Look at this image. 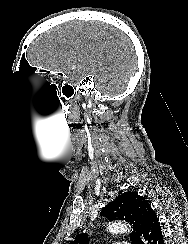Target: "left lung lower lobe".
<instances>
[{"label":"left lung lower lobe","mask_w":188,"mask_h":244,"mask_svg":"<svg viewBox=\"0 0 188 244\" xmlns=\"http://www.w3.org/2000/svg\"><path fill=\"white\" fill-rule=\"evenodd\" d=\"M141 244H164L162 230L156 213H151L147 219Z\"/></svg>","instance_id":"0a47b994"}]
</instances>
